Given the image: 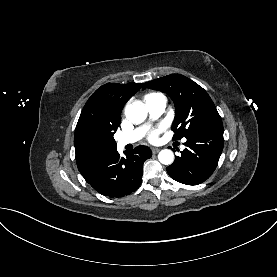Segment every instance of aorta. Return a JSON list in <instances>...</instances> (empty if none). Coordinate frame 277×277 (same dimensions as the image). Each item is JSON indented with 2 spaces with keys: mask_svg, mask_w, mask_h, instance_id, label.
<instances>
[{
  "mask_svg": "<svg viewBox=\"0 0 277 277\" xmlns=\"http://www.w3.org/2000/svg\"><path fill=\"white\" fill-rule=\"evenodd\" d=\"M126 118L132 123H142L147 117V110L141 102H134L126 107ZM160 163L170 165L174 161V154L169 149L161 150L158 154Z\"/></svg>",
  "mask_w": 277,
  "mask_h": 277,
  "instance_id": "1",
  "label": "aorta"
}]
</instances>
